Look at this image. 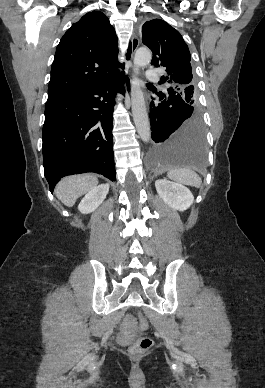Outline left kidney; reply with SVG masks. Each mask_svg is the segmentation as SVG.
<instances>
[{"label": "left kidney", "instance_id": "5707ae66", "mask_svg": "<svg viewBox=\"0 0 265 388\" xmlns=\"http://www.w3.org/2000/svg\"><path fill=\"white\" fill-rule=\"evenodd\" d=\"M155 188L161 200L167 206L174 208V210H179V212L187 210L194 202L190 190L182 186V184H174V182H168V180H157Z\"/></svg>", "mask_w": 265, "mask_h": 388}]
</instances>
